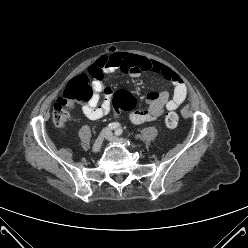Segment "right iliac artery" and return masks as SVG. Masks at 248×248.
<instances>
[{
    "mask_svg": "<svg viewBox=\"0 0 248 248\" xmlns=\"http://www.w3.org/2000/svg\"><path fill=\"white\" fill-rule=\"evenodd\" d=\"M119 127V123H116V122H112L108 125V129L110 130H115Z\"/></svg>",
    "mask_w": 248,
    "mask_h": 248,
    "instance_id": "1",
    "label": "right iliac artery"
}]
</instances>
